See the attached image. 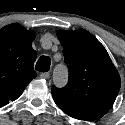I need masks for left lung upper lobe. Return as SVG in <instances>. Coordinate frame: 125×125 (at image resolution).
Segmentation results:
<instances>
[{
	"instance_id": "1",
	"label": "left lung upper lobe",
	"mask_w": 125,
	"mask_h": 125,
	"mask_svg": "<svg viewBox=\"0 0 125 125\" xmlns=\"http://www.w3.org/2000/svg\"><path fill=\"white\" fill-rule=\"evenodd\" d=\"M65 63L69 68L68 84L52 88L58 107L80 120H96L112 107L120 90V76L106 49L88 31H58Z\"/></svg>"
}]
</instances>
